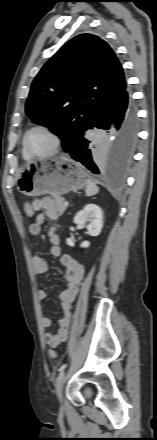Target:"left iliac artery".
<instances>
[{"mask_svg":"<svg viewBox=\"0 0 157 440\" xmlns=\"http://www.w3.org/2000/svg\"><path fill=\"white\" fill-rule=\"evenodd\" d=\"M67 364H63L60 368L59 371H63L66 368Z\"/></svg>","mask_w":157,"mask_h":440,"instance_id":"44dca946","label":"left iliac artery"}]
</instances>
